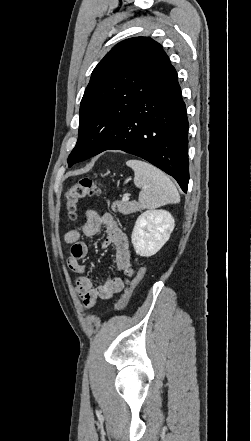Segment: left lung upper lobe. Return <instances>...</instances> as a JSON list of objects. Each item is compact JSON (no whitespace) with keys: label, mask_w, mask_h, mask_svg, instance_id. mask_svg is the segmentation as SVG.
Listing matches in <instances>:
<instances>
[{"label":"left lung upper lobe","mask_w":251,"mask_h":441,"mask_svg":"<svg viewBox=\"0 0 251 441\" xmlns=\"http://www.w3.org/2000/svg\"><path fill=\"white\" fill-rule=\"evenodd\" d=\"M170 64L162 46L149 37L126 39L106 54L81 100L79 137L68 157L69 167L88 159L86 141L93 128L127 115Z\"/></svg>","instance_id":"5c2ea615"}]
</instances>
